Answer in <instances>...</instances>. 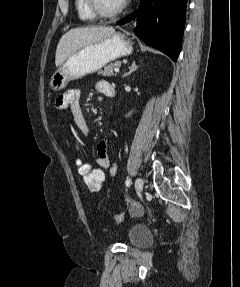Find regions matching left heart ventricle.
Wrapping results in <instances>:
<instances>
[{"label": "left heart ventricle", "mask_w": 240, "mask_h": 287, "mask_svg": "<svg viewBox=\"0 0 240 287\" xmlns=\"http://www.w3.org/2000/svg\"><path fill=\"white\" fill-rule=\"evenodd\" d=\"M99 2L104 10H113L117 8L123 0H99Z\"/></svg>", "instance_id": "1"}]
</instances>
